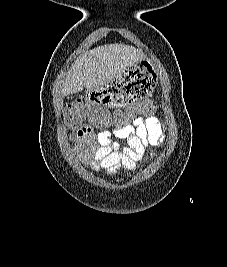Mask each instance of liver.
Listing matches in <instances>:
<instances>
[{
	"instance_id": "6515ba94",
	"label": "liver",
	"mask_w": 227,
	"mask_h": 267,
	"mask_svg": "<svg viewBox=\"0 0 227 267\" xmlns=\"http://www.w3.org/2000/svg\"><path fill=\"white\" fill-rule=\"evenodd\" d=\"M143 55L137 49L124 44L104 45L90 50L77 60L65 74L62 81L63 96L77 93L85 87H103L111 82V77L141 60Z\"/></svg>"
}]
</instances>
